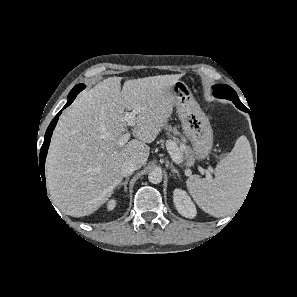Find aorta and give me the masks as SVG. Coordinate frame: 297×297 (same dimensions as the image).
Masks as SVG:
<instances>
[{
    "label": "aorta",
    "mask_w": 297,
    "mask_h": 297,
    "mask_svg": "<svg viewBox=\"0 0 297 297\" xmlns=\"http://www.w3.org/2000/svg\"><path fill=\"white\" fill-rule=\"evenodd\" d=\"M148 179L152 184H159L162 181V172L155 169L148 174Z\"/></svg>",
    "instance_id": "obj_1"
}]
</instances>
